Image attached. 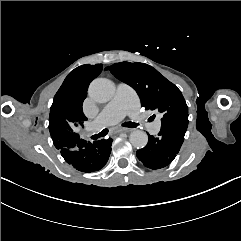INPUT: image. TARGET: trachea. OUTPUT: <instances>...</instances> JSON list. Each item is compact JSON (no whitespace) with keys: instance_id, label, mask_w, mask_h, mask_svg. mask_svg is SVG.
Listing matches in <instances>:
<instances>
[{"instance_id":"trachea-1","label":"trachea","mask_w":241,"mask_h":241,"mask_svg":"<svg viewBox=\"0 0 241 241\" xmlns=\"http://www.w3.org/2000/svg\"><path fill=\"white\" fill-rule=\"evenodd\" d=\"M122 126L134 128V127H137L138 124L134 123V122H125V123L122 124ZM108 131L109 130L107 128H105L99 134L91 136V139H95L96 140V139H98L100 137L106 136L108 134Z\"/></svg>"}]
</instances>
